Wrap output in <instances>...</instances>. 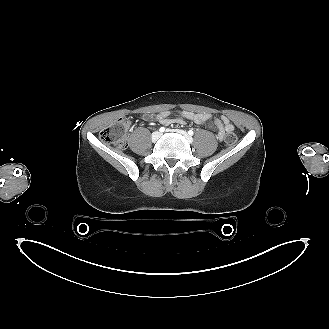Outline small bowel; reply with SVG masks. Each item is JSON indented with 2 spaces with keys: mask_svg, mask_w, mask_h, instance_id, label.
I'll return each instance as SVG.
<instances>
[{
  "mask_svg": "<svg viewBox=\"0 0 329 329\" xmlns=\"http://www.w3.org/2000/svg\"><path fill=\"white\" fill-rule=\"evenodd\" d=\"M145 118L148 119L150 116L145 115ZM155 119L164 125L185 123L187 121L197 125H211L212 128L216 130V138L219 141H223L226 134L234 131V125L230 122L228 117L224 115L216 117L208 113L163 111L158 113Z\"/></svg>",
  "mask_w": 329,
  "mask_h": 329,
  "instance_id": "small-bowel-1",
  "label": "small bowel"
}]
</instances>
